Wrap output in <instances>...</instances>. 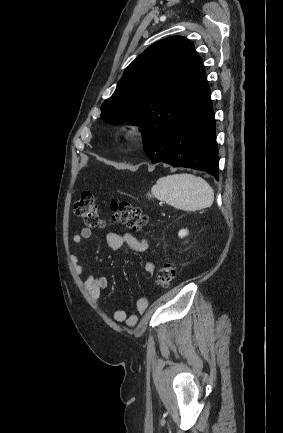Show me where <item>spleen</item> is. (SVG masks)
Returning <instances> with one entry per match:
<instances>
[{
	"label": "spleen",
	"instance_id": "spleen-1",
	"mask_svg": "<svg viewBox=\"0 0 283 433\" xmlns=\"http://www.w3.org/2000/svg\"><path fill=\"white\" fill-rule=\"evenodd\" d=\"M148 196L166 200L181 210H201L213 204L214 192L210 184L195 174H168L158 178Z\"/></svg>",
	"mask_w": 283,
	"mask_h": 433
}]
</instances>
